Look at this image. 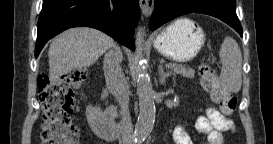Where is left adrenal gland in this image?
<instances>
[{"label":"left adrenal gland","instance_id":"obj_1","mask_svg":"<svg viewBox=\"0 0 273 144\" xmlns=\"http://www.w3.org/2000/svg\"><path fill=\"white\" fill-rule=\"evenodd\" d=\"M158 70H159V82L160 84L164 85L166 78L171 76L172 72H169V71L165 72L163 65H159Z\"/></svg>","mask_w":273,"mask_h":144}]
</instances>
